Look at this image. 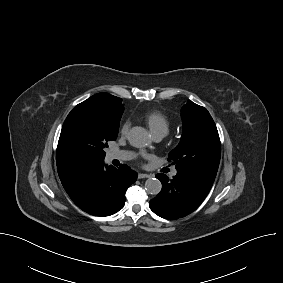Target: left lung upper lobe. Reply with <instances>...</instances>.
<instances>
[{"mask_svg":"<svg viewBox=\"0 0 283 283\" xmlns=\"http://www.w3.org/2000/svg\"><path fill=\"white\" fill-rule=\"evenodd\" d=\"M183 134L168 157L177 173L190 176L211 189L220 162L221 143L216 125L202 106L188 101L182 107Z\"/></svg>","mask_w":283,"mask_h":283,"instance_id":"5c2ea615","label":"left lung upper lobe"}]
</instances>
